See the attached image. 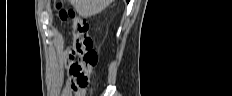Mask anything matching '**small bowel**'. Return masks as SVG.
Masks as SVG:
<instances>
[{
  "mask_svg": "<svg viewBox=\"0 0 232 96\" xmlns=\"http://www.w3.org/2000/svg\"><path fill=\"white\" fill-rule=\"evenodd\" d=\"M83 71L85 72V74H87V75L90 76V74H91V69L90 68L84 67ZM70 75H71V77H72L73 80L71 79L69 81L68 86H67V88L65 90V94H67V95L71 94V89H75L76 90V76L72 75L71 73H70Z\"/></svg>",
  "mask_w": 232,
  "mask_h": 96,
  "instance_id": "c3829d8e",
  "label": "small bowel"
}]
</instances>
